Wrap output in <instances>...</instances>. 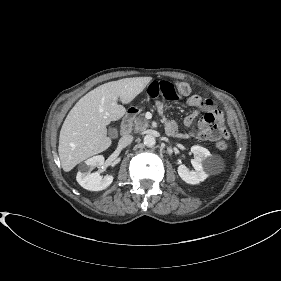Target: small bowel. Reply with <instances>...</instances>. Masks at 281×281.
<instances>
[{
    "mask_svg": "<svg viewBox=\"0 0 281 281\" xmlns=\"http://www.w3.org/2000/svg\"><path fill=\"white\" fill-rule=\"evenodd\" d=\"M185 104L189 107H192L194 110L185 117L184 124L188 127L192 126L195 118L199 114L200 111H206V115L209 113L218 112L213 107V102L210 99L202 98L199 95L193 94L189 96L185 100ZM156 108L158 112L163 115L165 110V104L162 101L156 102ZM222 128V126L220 125ZM223 129V128H222ZM165 130L168 135L178 138H207L208 140L215 141L217 140L220 135V130H211L210 125L205 119H202L198 122L197 128L192 129L187 133H180L178 132L177 125L173 120L166 119L165 120Z\"/></svg>",
    "mask_w": 281,
    "mask_h": 281,
    "instance_id": "1",
    "label": "small bowel"
}]
</instances>
